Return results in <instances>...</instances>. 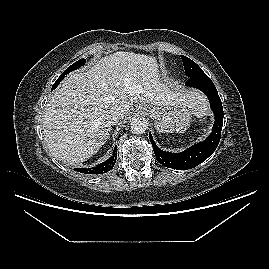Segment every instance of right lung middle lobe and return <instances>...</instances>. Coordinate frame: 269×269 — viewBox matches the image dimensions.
Returning <instances> with one entry per match:
<instances>
[{
	"label": "right lung middle lobe",
	"instance_id": "obj_1",
	"mask_svg": "<svg viewBox=\"0 0 269 269\" xmlns=\"http://www.w3.org/2000/svg\"><path fill=\"white\" fill-rule=\"evenodd\" d=\"M86 60L85 59H80L77 62L73 63L71 66H69L63 73L68 74L69 72L76 70L83 66L85 64Z\"/></svg>",
	"mask_w": 269,
	"mask_h": 269
}]
</instances>
